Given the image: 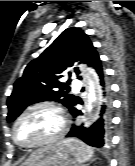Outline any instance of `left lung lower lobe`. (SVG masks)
Masks as SVG:
<instances>
[{
  "instance_id": "1",
  "label": "left lung lower lobe",
  "mask_w": 135,
  "mask_h": 166,
  "mask_svg": "<svg viewBox=\"0 0 135 166\" xmlns=\"http://www.w3.org/2000/svg\"><path fill=\"white\" fill-rule=\"evenodd\" d=\"M89 66L94 68L100 79L99 82L101 87L102 101L100 105L99 118L89 128H85L82 125L81 126L73 125L67 137H77L90 146L103 148L108 144L109 140V132H110L111 118H112L111 117L112 104H111V94H110L111 92L108 81L103 72L99 55L93 58ZM77 103L79 102H77V100L74 99V102L69 109L74 117L82 115V112L80 110H77L75 107Z\"/></svg>"
}]
</instances>
